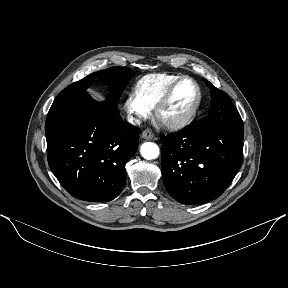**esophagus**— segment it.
<instances>
[{
  "label": "esophagus",
  "instance_id": "esophagus-1",
  "mask_svg": "<svg viewBox=\"0 0 288 288\" xmlns=\"http://www.w3.org/2000/svg\"><path fill=\"white\" fill-rule=\"evenodd\" d=\"M142 138L144 139H147V140H152L154 139V134L151 130L149 129H145L143 132H142Z\"/></svg>",
  "mask_w": 288,
  "mask_h": 288
}]
</instances>
